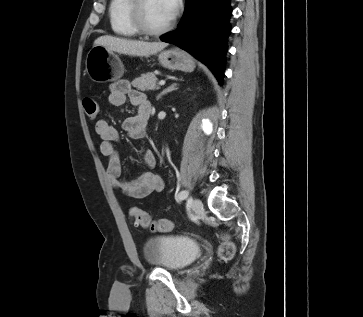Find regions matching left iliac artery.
Returning <instances> with one entry per match:
<instances>
[{
    "instance_id": "left-iliac-artery-1",
    "label": "left iliac artery",
    "mask_w": 363,
    "mask_h": 317,
    "mask_svg": "<svg viewBox=\"0 0 363 317\" xmlns=\"http://www.w3.org/2000/svg\"><path fill=\"white\" fill-rule=\"evenodd\" d=\"M188 195H189V193H188V191H186V190H182L179 194H178V196H177V201H182V200H184V199H186L187 197H188Z\"/></svg>"
}]
</instances>
